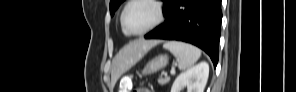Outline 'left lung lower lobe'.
Segmentation results:
<instances>
[{"instance_id": "0a47b994", "label": "left lung lower lobe", "mask_w": 296, "mask_h": 92, "mask_svg": "<svg viewBox=\"0 0 296 92\" xmlns=\"http://www.w3.org/2000/svg\"><path fill=\"white\" fill-rule=\"evenodd\" d=\"M163 14L165 22L146 34V39L191 43L204 50L217 65L221 0H169Z\"/></svg>"}]
</instances>
